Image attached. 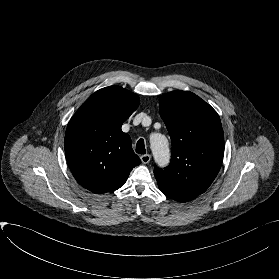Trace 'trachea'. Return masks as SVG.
Returning <instances> with one entry per match:
<instances>
[{
  "label": "trachea",
  "instance_id": "1",
  "mask_svg": "<svg viewBox=\"0 0 279 279\" xmlns=\"http://www.w3.org/2000/svg\"><path fill=\"white\" fill-rule=\"evenodd\" d=\"M136 152L138 154H146L145 144L143 139H139L136 144Z\"/></svg>",
  "mask_w": 279,
  "mask_h": 279
}]
</instances>
